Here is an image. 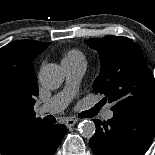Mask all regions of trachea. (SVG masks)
<instances>
[{"mask_svg":"<svg viewBox=\"0 0 155 155\" xmlns=\"http://www.w3.org/2000/svg\"><path fill=\"white\" fill-rule=\"evenodd\" d=\"M46 121H47V122L54 123L53 120L50 121L48 118L46 119Z\"/></svg>","mask_w":155,"mask_h":155,"instance_id":"trachea-1","label":"trachea"}]
</instances>
